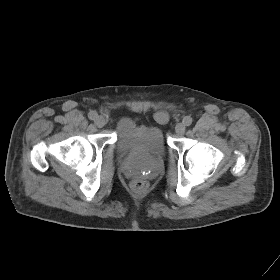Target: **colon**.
Instances as JSON below:
<instances>
[{
    "label": "colon",
    "mask_w": 280,
    "mask_h": 280,
    "mask_svg": "<svg viewBox=\"0 0 280 280\" xmlns=\"http://www.w3.org/2000/svg\"><path fill=\"white\" fill-rule=\"evenodd\" d=\"M132 186L136 191L142 192L147 188V183L142 179H136L133 181Z\"/></svg>",
    "instance_id": "obj_1"
}]
</instances>
